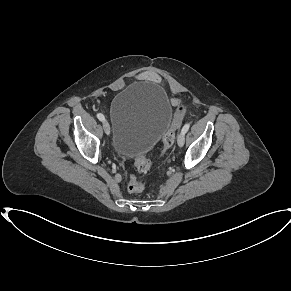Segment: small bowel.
Instances as JSON below:
<instances>
[{
	"mask_svg": "<svg viewBox=\"0 0 291 291\" xmlns=\"http://www.w3.org/2000/svg\"><path fill=\"white\" fill-rule=\"evenodd\" d=\"M136 78L139 80H145V81H149V82H153V83H157V84L162 83L161 77L153 71H143V72L137 74ZM171 101H172L173 105H177L179 102V100L176 98H172Z\"/></svg>",
	"mask_w": 291,
	"mask_h": 291,
	"instance_id": "small-bowel-1",
	"label": "small bowel"
}]
</instances>
